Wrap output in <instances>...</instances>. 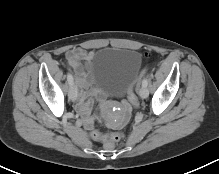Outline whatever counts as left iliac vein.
Masks as SVG:
<instances>
[{"mask_svg": "<svg viewBox=\"0 0 219 174\" xmlns=\"http://www.w3.org/2000/svg\"><path fill=\"white\" fill-rule=\"evenodd\" d=\"M139 96L141 98H146L148 96V90L145 86H142L140 89H139Z\"/></svg>", "mask_w": 219, "mask_h": 174, "instance_id": "1", "label": "left iliac vein"}]
</instances>
